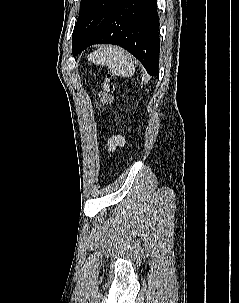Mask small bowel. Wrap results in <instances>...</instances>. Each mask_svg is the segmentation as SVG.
<instances>
[{"label": "small bowel", "mask_w": 239, "mask_h": 303, "mask_svg": "<svg viewBox=\"0 0 239 303\" xmlns=\"http://www.w3.org/2000/svg\"><path fill=\"white\" fill-rule=\"evenodd\" d=\"M123 145L124 140L119 136H114L108 141V150L113 153Z\"/></svg>", "instance_id": "small-bowel-1"}]
</instances>
